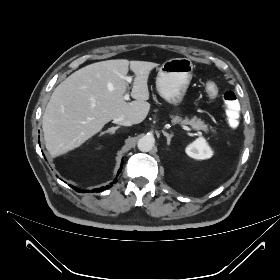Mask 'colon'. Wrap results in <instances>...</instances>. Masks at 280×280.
Wrapping results in <instances>:
<instances>
[{"instance_id":"1","label":"colon","mask_w":280,"mask_h":280,"mask_svg":"<svg viewBox=\"0 0 280 280\" xmlns=\"http://www.w3.org/2000/svg\"><path fill=\"white\" fill-rule=\"evenodd\" d=\"M204 90L206 95L213 99L218 94V87L212 81H207L204 84ZM222 98L227 108L228 124L232 128H237L241 124L240 111L242 109V104L237 100V96L232 90H225L222 93Z\"/></svg>"}]
</instances>
